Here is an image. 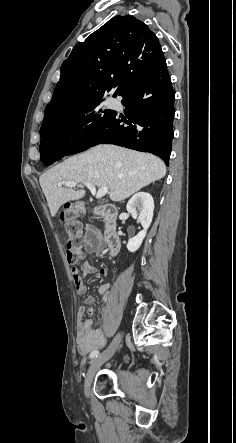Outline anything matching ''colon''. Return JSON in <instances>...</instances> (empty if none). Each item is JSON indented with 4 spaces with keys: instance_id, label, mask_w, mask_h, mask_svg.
<instances>
[{
    "instance_id": "obj_1",
    "label": "colon",
    "mask_w": 236,
    "mask_h": 443,
    "mask_svg": "<svg viewBox=\"0 0 236 443\" xmlns=\"http://www.w3.org/2000/svg\"><path fill=\"white\" fill-rule=\"evenodd\" d=\"M83 211L84 210L82 207L76 208L71 205H67L58 214V219L60 223L64 224L66 230V257L68 262L74 265L80 263L84 258V252L82 250L83 239L80 234L81 224L74 220L76 213H83ZM73 267L78 268L77 266Z\"/></svg>"
}]
</instances>
